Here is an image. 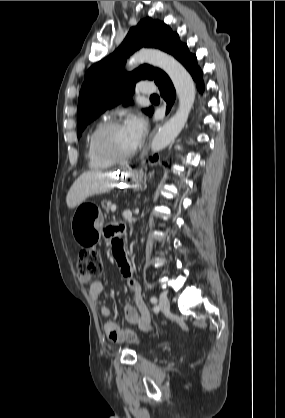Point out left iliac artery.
<instances>
[{
	"label": "left iliac artery",
	"mask_w": 285,
	"mask_h": 418,
	"mask_svg": "<svg viewBox=\"0 0 285 418\" xmlns=\"http://www.w3.org/2000/svg\"><path fill=\"white\" fill-rule=\"evenodd\" d=\"M150 302L152 303V304H155V303H157V298L156 297H151L150 298Z\"/></svg>",
	"instance_id": "obj_1"
}]
</instances>
